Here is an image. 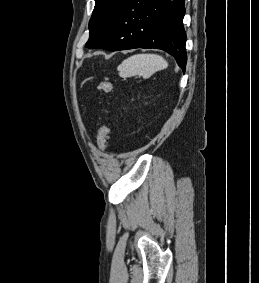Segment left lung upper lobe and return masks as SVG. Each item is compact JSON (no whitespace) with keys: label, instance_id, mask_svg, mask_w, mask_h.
Listing matches in <instances>:
<instances>
[{"label":"left lung upper lobe","instance_id":"5c2ea615","mask_svg":"<svg viewBox=\"0 0 259 283\" xmlns=\"http://www.w3.org/2000/svg\"><path fill=\"white\" fill-rule=\"evenodd\" d=\"M125 1L95 0V7L89 21L90 37L85 47H90L105 35Z\"/></svg>","mask_w":259,"mask_h":283}]
</instances>
